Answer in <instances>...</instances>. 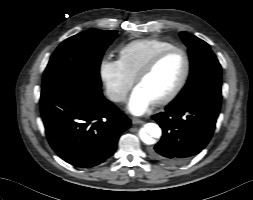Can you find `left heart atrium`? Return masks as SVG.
<instances>
[{
	"instance_id": "1",
	"label": "left heart atrium",
	"mask_w": 253,
	"mask_h": 200,
	"mask_svg": "<svg viewBox=\"0 0 253 200\" xmlns=\"http://www.w3.org/2000/svg\"><path fill=\"white\" fill-rule=\"evenodd\" d=\"M153 104L154 101L147 95V93L137 86L129 98L127 109L134 115H142L147 112Z\"/></svg>"
}]
</instances>
